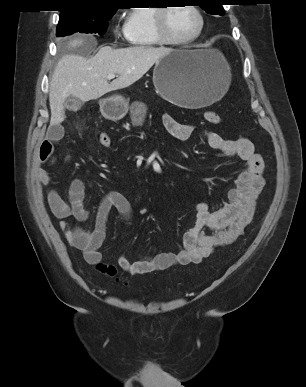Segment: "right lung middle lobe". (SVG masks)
Masks as SVG:
<instances>
[{
  "label": "right lung middle lobe",
  "instance_id": "dd1d6c3e",
  "mask_svg": "<svg viewBox=\"0 0 306 387\" xmlns=\"http://www.w3.org/2000/svg\"><path fill=\"white\" fill-rule=\"evenodd\" d=\"M116 10H102L98 12H69L61 13L57 26V37L75 32L98 33L103 35Z\"/></svg>",
  "mask_w": 306,
  "mask_h": 387
}]
</instances>
